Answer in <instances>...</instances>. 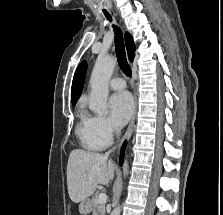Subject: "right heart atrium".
Returning a JSON list of instances; mask_svg holds the SVG:
<instances>
[{"mask_svg": "<svg viewBox=\"0 0 223 215\" xmlns=\"http://www.w3.org/2000/svg\"><path fill=\"white\" fill-rule=\"evenodd\" d=\"M92 125L97 135L106 142H109L117 132V128L106 116L92 117Z\"/></svg>", "mask_w": 223, "mask_h": 215, "instance_id": "d8ad5b80", "label": "right heart atrium"}]
</instances>
